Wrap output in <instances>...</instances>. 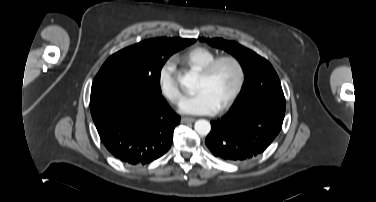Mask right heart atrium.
Listing matches in <instances>:
<instances>
[{
	"label": "right heart atrium",
	"instance_id": "obj_1",
	"mask_svg": "<svg viewBox=\"0 0 376 202\" xmlns=\"http://www.w3.org/2000/svg\"><path fill=\"white\" fill-rule=\"evenodd\" d=\"M158 87L162 95L171 103H178L181 92L177 82L175 64L172 60H166L158 72Z\"/></svg>",
	"mask_w": 376,
	"mask_h": 202
}]
</instances>
